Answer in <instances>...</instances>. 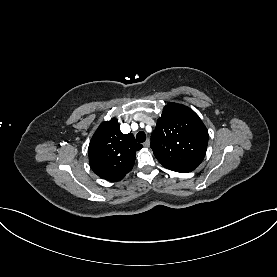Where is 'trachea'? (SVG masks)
Segmentation results:
<instances>
[{
  "label": "trachea",
  "instance_id": "obj_1",
  "mask_svg": "<svg viewBox=\"0 0 277 277\" xmlns=\"http://www.w3.org/2000/svg\"><path fill=\"white\" fill-rule=\"evenodd\" d=\"M136 139L139 143H143L146 140V134L143 131H140L137 133Z\"/></svg>",
  "mask_w": 277,
  "mask_h": 277
}]
</instances>
